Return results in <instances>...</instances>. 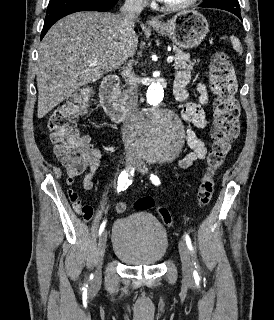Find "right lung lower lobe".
<instances>
[{
	"label": "right lung lower lobe",
	"instance_id": "98d812e1",
	"mask_svg": "<svg viewBox=\"0 0 274 320\" xmlns=\"http://www.w3.org/2000/svg\"><path fill=\"white\" fill-rule=\"evenodd\" d=\"M118 0H62L58 3L48 5L46 18L41 32V39L50 27L62 17L79 11L106 12L114 7Z\"/></svg>",
	"mask_w": 274,
	"mask_h": 320
}]
</instances>
